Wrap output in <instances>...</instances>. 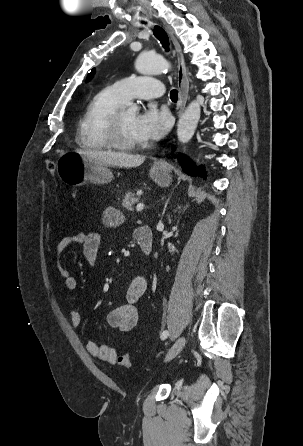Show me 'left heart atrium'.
I'll list each match as a JSON object with an SVG mask.
<instances>
[{
    "mask_svg": "<svg viewBox=\"0 0 303 446\" xmlns=\"http://www.w3.org/2000/svg\"><path fill=\"white\" fill-rule=\"evenodd\" d=\"M170 124V115L166 110L150 106L136 116L134 133L139 141L158 140L168 132Z\"/></svg>",
    "mask_w": 303,
    "mask_h": 446,
    "instance_id": "left-heart-atrium-1",
    "label": "left heart atrium"
}]
</instances>
